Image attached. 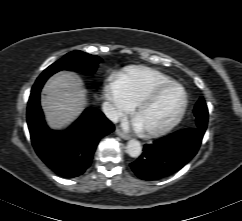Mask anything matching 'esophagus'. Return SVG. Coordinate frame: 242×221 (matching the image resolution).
I'll return each mask as SVG.
<instances>
[{"instance_id":"esophagus-1","label":"esophagus","mask_w":242,"mask_h":221,"mask_svg":"<svg viewBox=\"0 0 242 221\" xmlns=\"http://www.w3.org/2000/svg\"><path fill=\"white\" fill-rule=\"evenodd\" d=\"M116 134L124 140L130 139V136L123 133L120 129H116Z\"/></svg>"}]
</instances>
